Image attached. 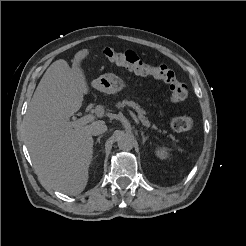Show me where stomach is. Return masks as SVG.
<instances>
[{"label":"stomach","instance_id":"stomach-1","mask_svg":"<svg viewBox=\"0 0 246 246\" xmlns=\"http://www.w3.org/2000/svg\"><path fill=\"white\" fill-rule=\"evenodd\" d=\"M91 84L95 89L107 94H115L127 86L124 80L114 73L103 74Z\"/></svg>","mask_w":246,"mask_h":246}]
</instances>
